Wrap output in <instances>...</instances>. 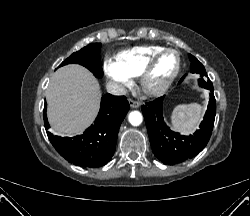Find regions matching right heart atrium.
Segmentation results:
<instances>
[{
	"mask_svg": "<svg viewBox=\"0 0 250 216\" xmlns=\"http://www.w3.org/2000/svg\"><path fill=\"white\" fill-rule=\"evenodd\" d=\"M104 71L106 75L119 87H128L131 85V77L123 71L119 64L111 59H107L104 63Z\"/></svg>",
	"mask_w": 250,
	"mask_h": 216,
	"instance_id": "right-heart-atrium-1",
	"label": "right heart atrium"
}]
</instances>
